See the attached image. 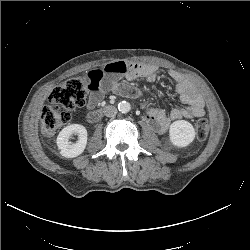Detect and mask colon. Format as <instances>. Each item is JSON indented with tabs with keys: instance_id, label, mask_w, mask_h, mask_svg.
I'll list each match as a JSON object with an SVG mask.
<instances>
[{
	"instance_id": "5ec220e1",
	"label": "colon",
	"mask_w": 250,
	"mask_h": 250,
	"mask_svg": "<svg viewBox=\"0 0 250 250\" xmlns=\"http://www.w3.org/2000/svg\"><path fill=\"white\" fill-rule=\"evenodd\" d=\"M88 90L87 76L73 77L58 84L50 93L41 112L43 133L52 135L59 127L67 124L71 119V112L85 105ZM209 128L206 119H199L195 123L197 139L205 140L209 134Z\"/></svg>"
}]
</instances>
